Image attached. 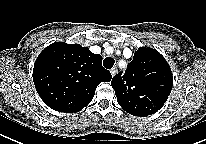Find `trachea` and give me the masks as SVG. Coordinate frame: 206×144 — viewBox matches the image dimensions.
Returning a JSON list of instances; mask_svg holds the SVG:
<instances>
[{"label": "trachea", "instance_id": "3493384b", "mask_svg": "<svg viewBox=\"0 0 206 144\" xmlns=\"http://www.w3.org/2000/svg\"><path fill=\"white\" fill-rule=\"evenodd\" d=\"M115 61L113 58L111 57H107L104 59L103 61V66L106 68V69H111L114 65Z\"/></svg>", "mask_w": 206, "mask_h": 144}]
</instances>
